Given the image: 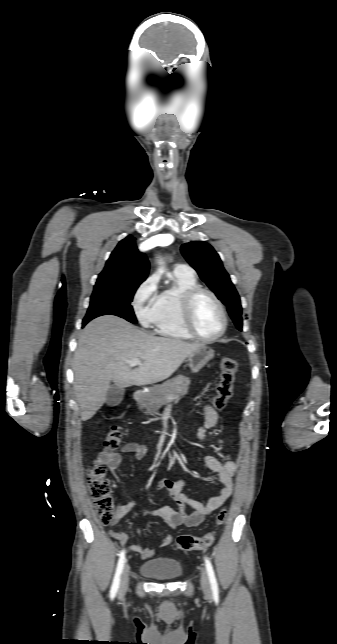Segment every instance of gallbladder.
Here are the masks:
<instances>
[{
  "mask_svg": "<svg viewBox=\"0 0 337 644\" xmlns=\"http://www.w3.org/2000/svg\"><path fill=\"white\" fill-rule=\"evenodd\" d=\"M124 389L118 388L116 385H111L106 394V404L108 406H116L121 403L124 397Z\"/></svg>",
  "mask_w": 337,
  "mask_h": 644,
  "instance_id": "bac80fb5",
  "label": "gallbladder"
}]
</instances>
